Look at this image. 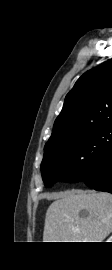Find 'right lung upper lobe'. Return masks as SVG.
<instances>
[{
	"label": "right lung upper lobe",
	"instance_id": "1",
	"mask_svg": "<svg viewBox=\"0 0 112 270\" xmlns=\"http://www.w3.org/2000/svg\"><path fill=\"white\" fill-rule=\"evenodd\" d=\"M112 124V59L87 71L67 94L45 149Z\"/></svg>",
	"mask_w": 112,
	"mask_h": 270
}]
</instances>
